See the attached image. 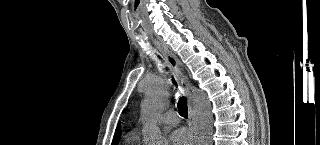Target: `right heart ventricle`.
I'll return each mask as SVG.
<instances>
[{"label": "right heart ventricle", "mask_w": 320, "mask_h": 145, "mask_svg": "<svg viewBox=\"0 0 320 145\" xmlns=\"http://www.w3.org/2000/svg\"><path fill=\"white\" fill-rule=\"evenodd\" d=\"M126 145H136V144H135V140H133V139H128L127 142H126Z\"/></svg>", "instance_id": "right-heart-ventricle-1"}]
</instances>
